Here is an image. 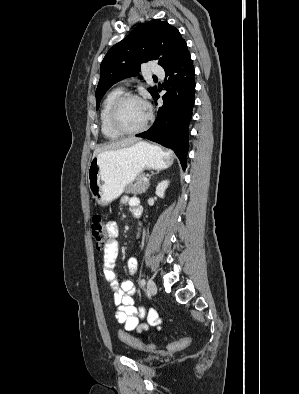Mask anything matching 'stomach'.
Returning a JSON list of instances; mask_svg holds the SVG:
<instances>
[{
    "mask_svg": "<svg viewBox=\"0 0 299 394\" xmlns=\"http://www.w3.org/2000/svg\"><path fill=\"white\" fill-rule=\"evenodd\" d=\"M173 155L144 141L94 156L87 170L88 187L99 205L118 198L145 169H166Z\"/></svg>",
    "mask_w": 299,
    "mask_h": 394,
    "instance_id": "obj_1",
    "label": "stomach"
}]
</instances>
